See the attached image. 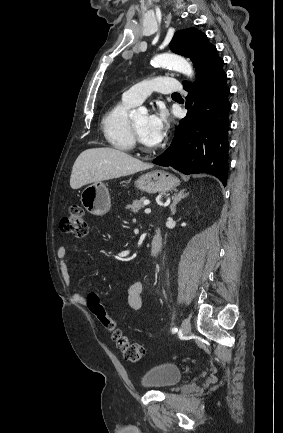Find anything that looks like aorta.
Segmentation results:
<instances>
[{"label":"aorta","mask_w":283,"mask_h":433,"mask_svg":"<svg viewBox=\"0 0 283 433\" xmlns=\"http://www.w3.org/2000/svg\"><path fill=\"white\" fill-rule=\"evenodd\" d=\"M151 63L155 66L167 67L171 68L177 72H180L187 77L193 76V69L189 62L181 56L171 53H163L157 55L153 58ZM146 110L144 108H139L138 110H133L130 112V117L135 118L140 114L145 113Z\"/></svg>","instance_id":"aorta-1"}]
</instances>
